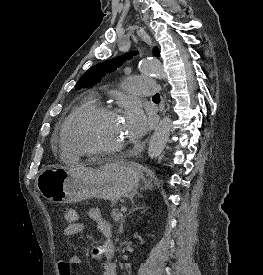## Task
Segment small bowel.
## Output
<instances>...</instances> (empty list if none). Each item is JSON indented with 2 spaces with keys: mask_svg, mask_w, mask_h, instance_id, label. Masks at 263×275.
Instances as JSON below:
<instances>
[{
  "mask_svg": "<svg viewBox=\"0 0 263 275\" xmlns=\"http://www.w3.org/2000/svg\"><path fill=\"white\" fill-rule=\"evenodd\" d=\"M88 217L91 221L95 222L98 229L101 231L104 242L95 247L92 250V258L94 260H103L102 263V275H117V266L113 262L114 256V244L111 239L112 235V226L105 220L102 216L100 209L92 208L88 212ZM84 229V225L76 221L75 223H69L63 230L65 236H73L80 233ZM68 263L69 273L67 275H76L73 266L81 262L80 258L75 255H69L65 260H62ZM59 273H60V264L58 263Z\"/></svg>",
  "mask_w": 263,
  "mask_h": 275,
  "instance_id": "small-bowel-1",
  "label": "small bowel"
}]
</instances>
